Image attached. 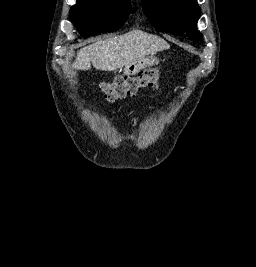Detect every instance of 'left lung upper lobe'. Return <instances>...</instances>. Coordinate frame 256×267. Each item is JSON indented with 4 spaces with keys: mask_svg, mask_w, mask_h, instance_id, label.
<instances>
[{
    "mask_svg": "<svg viewBox=\"0 0 256 267\" xmlns=\"http://www.w3.org/2000/svg\"><path fill=\"white\" fill-rule=\"evenodd\" d=\"M142 7L158 29L176 35L186 32L193 41L202 37L196 26L200 15L197 0H142Z\"/></svg>",
    "mask_w": 256,
    "mask_h": 267,
    "instance_id": "5c2ea615",
    "label": "left lung upper lobe"
}]
</instances>
